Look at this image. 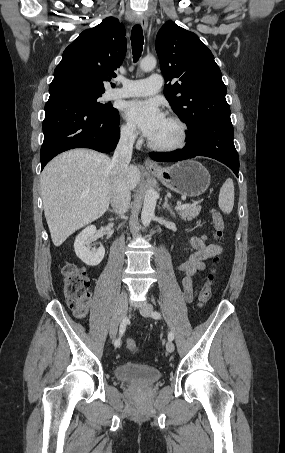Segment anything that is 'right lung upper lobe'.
<instances>
[{"label":"right lung upper lobe","instance_id":"1","mask_svg":"<svg viewBox=\"0 0 285 453\" xmlns=\"http://www.w3.org/2000/svg\"><path fill=\"white\" fill-rule=\"evenodd\" d=\"M125 28L114 17L84 30L63 52L49 93H103L104 81L115 77L126 53Z\"/></svg>","mask_w":285,"mask_h":453}]
</instances>
